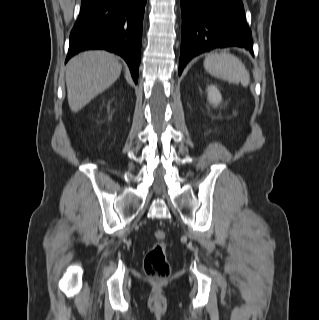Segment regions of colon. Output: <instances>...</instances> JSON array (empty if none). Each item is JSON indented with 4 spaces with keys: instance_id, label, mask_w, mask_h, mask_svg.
<instances>
[{
    "instance_id": "5ec220e1",
    "label": "colon",
    "mask_w": 319,
    "mask_h": 320,
    "mask_svg": "<svg viewBox=\"0 0 319 320\" xmlns=\"http://www.w3.org/2000/svg\"><path fill=\"white\" fill-rule=\"evenodd\" d=\"M157 242L151 247L144 258L143 267L147 276L164 278L170 273V265L166 258V233L162 230L154 232Z\"/></svg>"
}]
</instances>
